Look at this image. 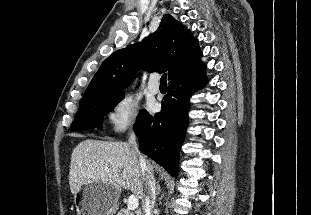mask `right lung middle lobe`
<instances>
[{
  "mask_svg": "<svg viewBox=\"0 0 311 215\" xmlns=\"http://www.w3.org/2000/svg\"><path fill=\"white\" fill-rule=\"evenodd\" d=\"M125 94L97 97L80 103L76 119L71 126L72 131L90 128L102 129L103 116L108 114L124 98ZM139 113L137 120L145 113Z\"/></svg>",
  "mask_w": 311,
  "mask_h": 215,
  "instance_id": "right-lung-middle-lobe-1",
  "label": "right lung middle lobe"
}]
</instances>
